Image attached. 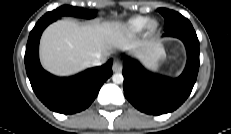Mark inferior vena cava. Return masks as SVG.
Instances as JSON below:
<instances>
[{"label": "inferior vena cava", "instance_id": "602c4592", "mask_svg": "<svg viewBox=\"0 0 231 134\" xmlns=\"http://www.w3.org/2000/svg\"><path fill=\"white\" fill-rule=\"evenodd\" d=\"M103 62H104V59H102V58L94 59V60L91 62V66H99V65H101Z\"/></svg>", "mask_w": 231, "mask_h": 134}]
</instances>
